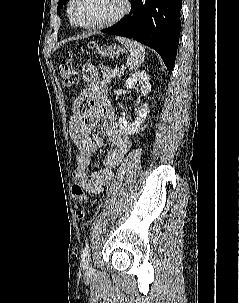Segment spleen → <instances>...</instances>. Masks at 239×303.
I'll return each mask as SVG.
<instances>
[{
  "label": "spleen",
  "instance_id": "3e777b00",
  "mask_svg": "<svg viewBox=\"0 0 239 303\" xmlns=\"http://www.w3.org/2000/svg\"><path fill=\"white\" fill-rule=\"evenodd\" d=\"M116 40L123 44L130 52L126 62L127 68L132 71L140 67L145 59L144 47L140 43L124 37H116Z\"/></svg>",
  "mask_w": 239,
  "mask_h": 303
}]
</instances>
